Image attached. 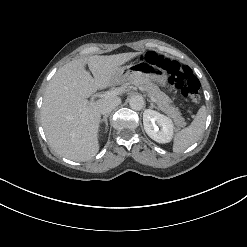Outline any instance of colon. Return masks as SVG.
<instances>
[{
    "mask_svg": "<svg viewBox=\"0 0 247 247\" xmlns=\"http://www.w3.org/2000/svg\"><path fill=\"white\" fill-rule=\"evenodd\" d=\"M146 60L165 70L168 73L169 82L177 87L186 99L193 104L200 101V82L188 66L155 53H148Z\"/></svg>",
    "mask_w": 247,
    "mask_h": 247,
    "instance_id": "5ec220e1",
    "label": "colon"
}]
</instances>
